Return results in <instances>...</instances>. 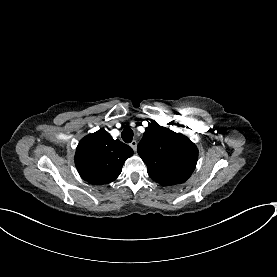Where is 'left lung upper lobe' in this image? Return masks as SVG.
<instances>
[{"instance_id": "5c2ea615", "label": "left lung upper lobe", "mask_w": 277, "mask_h": 277, "mask_svg": "<svg viewBox=\"0 0 277 277\" xmlns=\"http://www.w3.org/2000/svg\"><path fill=\"white\" fill-rule=\"evenodd\" d=\"M137 151L150 178L163 186L184 183L198 158V149L188 137L154 122L148 123Z\"/></svg>"}]
</instances>
